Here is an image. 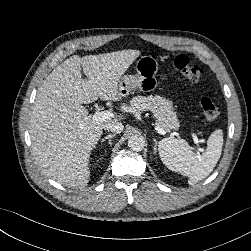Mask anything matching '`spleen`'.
Returning <instances> with one entry per match:
<instances>
[{
    "instance_id": "1",
    "label": "spleen",
    "mask_w": 251,
    "mask_h": 251,
    "mask_svg": "<svg viewBox=\"0 0 251 251\" xmlns=\"http://www.w3.org/2000/svg\"><path fill=\"white\" fill-rule=\"evenodd\" d=\"M223 142V131L215 130L207 141L206 151L199 154L185 140L168 137L159 142V156L168 169L188 176L189 184L193 185L212 172L221 156Z\"/></svg>"
}]
</instances>
